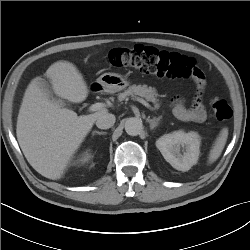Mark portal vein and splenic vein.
Returning a JSON list of instances; mask_svg holds the SVG:
<instances>
[{
    "mask_svg": "<svg viewBox=\"0 0 250 250\" xmlns=\"http://www.w3.org/2000/svg\"><path fill=\"white\" fill-rule=\"evenodd\" d=\"M135 100L138 101V102H140L141 104H143L148 109L153 110V107L148 102H146L144 99L139 98V97H135ZM105 107H106L105 103H99L98 102V103L92 104L89 107V111L94 112V111H98V110L104 109Z\"/></svg>",
    "mask_w": 250,
    "mask_h": 250,
    "instance_id": "18ae733b",
    "label": "portal vein and splenic vein"
}]
</instances>
